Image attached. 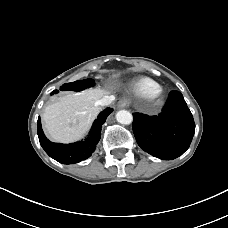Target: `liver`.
<instances>
[{"mask_svg": "<svg viewBox=\"0 0 228 228\" xmlns=\"http://www.w3.org/2000/svg\"><path fill=\"white\" fill-rule=\"evenodd\" d=\"M108 93L102 88L88 89L65 95L48 105L42 119L49 137L62 143L83 137L99 113L97 101Z\"/></svg>", "mask_w": 228, "mask_h": 228, "instance_id": "liver-1", "label": "liver"}]
</instances>
